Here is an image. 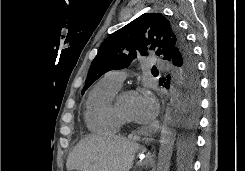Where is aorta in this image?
Instances as JSON below:
<instances>
[{"label":"aorta","mask_w":245,"mask_h":171,"mask_svg":"<svg viewBox=\"0 0 245 171\" xmlns=\"http://www.w3.org/2000/svg\"><path fill=\"white\" fill-rule=\"evenodd\" d=\"M179 122V92L176 87L171 88L170 102L166 108L160 135V148L157 161V171H169L173 153L176 130Z\"/></svg>","instance_id":"1"}]
</instances>
